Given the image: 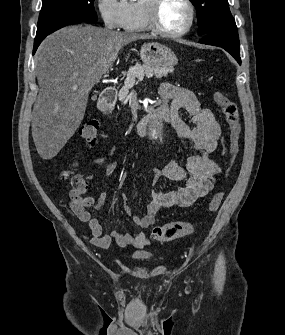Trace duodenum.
I'll return each mask as SVG.
<instances>
[{
  "label": "duodenum",
  "instance_id": "410a0bca",
  "mask_svg": "<svg viewBox=\"0 0 285 335\" xmlns=\"http://www.w3.org/2000/svg\"><path fill=\"white\" fill-rule=\"evenodd\" d=\"M117 94L118 92L114 87H109L105 89L98 102L99 109L103 112L110 110L117 98ZM173 115L174 112L170 108V106L163 103L149 110L148 115H146L136 124L135 132L138 135H143L146 132L148 124L151 120L155 119L160 123H165L171 121Z\"/></svg>",
  "mask_w": 285,
  "mask_h": 335
}]
</instances>
